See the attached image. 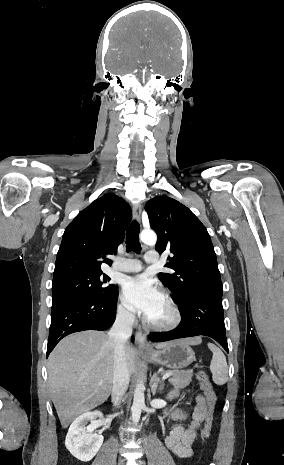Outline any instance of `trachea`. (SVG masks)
Returning a JSON list of instances; mask_svg holds the SVG:
<instances>
[{
    "mask_svg": "<svg viewBox=\"0 0 284 465\" xmlns=\"http://www.w3.org/2000/svg\"><path fill=\"white\" fill-rule=\"evenodd\" d=\"M139 231L140 225L136 220H134L129 227L127 228L126 232V249L127 252H131L132 250L136 253L141 251V246L139 243Z\"/></svg>",
    "mask_w": 284,
    "mask_h": 465,
    "instance_id": "trachea-1",
    "label": "trachea"
}]
</instances>
